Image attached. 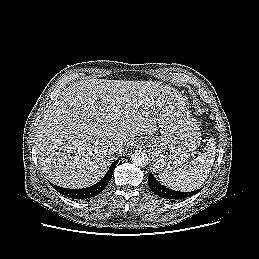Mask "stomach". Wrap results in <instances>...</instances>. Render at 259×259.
<instances>
[{
  "label": "stomach",
  "mask_w": 259,
  "mask_h": 259,
  "mask_svg": "<svg viewBox=\"0 0 259 259\" xmlns=\"http://www.w3.org/2000/svg\"><path fill=\"white\" fill-rule=\"evenodd\" d=\"M156 101L161 135L147 140V148L153 170L171 172L188 161L200 143L201 132L177 90L160 88Z\"/></svg>",
  "instance_id": "stomach-1"
}]
</instances>
